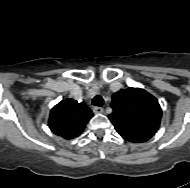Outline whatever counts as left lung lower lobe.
Segmentation results:
<instances>
[{
  "mask_svg": "<svg viewBox=\"0 0 190 188\" xmlns=\"http://www.w3.org/2000/svg\"><path fill=\"white\" fill-rule=\"evenodd\" d=\"M116 131L127 141L134 143H141L149 140L152 136L145 134H138L127 130L116 129Z\"/></svg>",
  "mask_w": 190,
  "mask_h": 188,
  "instance_id": "1",
  "label": "left lung lower lobe"
}]
</instances>
